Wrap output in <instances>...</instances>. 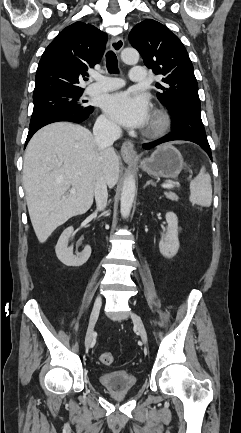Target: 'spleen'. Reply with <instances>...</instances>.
Segmentation results:
<instances>
[{
	"instance_id": "1",
	"label": "spleen",
	"mask_w": 241,
	"mask_h": 433,
	"mask_svg": "<svg viewBox=\"0 0 241 433\" xmlns=\"http://www.w3.org/2000/svg\"><path fill=\"white\" fill-rule=\"evenodd\" d=\"M189 200L193 205L210 207L212 202L211 177L202 166L199 174L190 181Z\"/></svg>"
}]
</instances>
